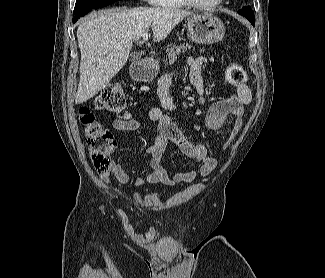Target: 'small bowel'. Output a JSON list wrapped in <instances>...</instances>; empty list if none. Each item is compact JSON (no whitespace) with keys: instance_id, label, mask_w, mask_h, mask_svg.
I'll return each instance as SVG.
<instances>
[{"instance_id":"c3829d8e","label":"small bowel","mask_w":325,"mask_h":278,"mask_svg":"<svg viewBox=\"0 0 325 278\" xmlns=\"http://www.w3.org/2000/svg\"><path fill=\"white\" fill-rule=\"evenodd\" d=\"M206 61V58L202 56L189 57L186 60L190 81L197 93V100L201 106L206 105V87L201 76V68ZM171 81V75L161 78L157 90L161 108H152L148 114V121L156 130V138L154 145L149 147L145 153L146 157L150 158L151 170H143V178L136 180L137 186H143L145 183L174 185L176 183L192 182L198 174L208 176L216 166V160L208 154L206 146L185 133L168 113L179 109L178 104L169 95ZM250 101L251 91L247 85L243 84L236 87L234 95L216 101L207 107L205 121L210 129L216 130L221 128L230 117L235 119L232 128L227 132L223 140V149H227L230 146L241 129L245 106ZM112 127L117 132H134L142 128V122L137 119H116L113 121ZM169 142L182 153L197 161L200 165L199 169L175 172L164 167L163 160ZM100 177L105 183L110 182L112 178H115L122 185H126L129 182V175L122 167L120 158L111 161L109 169L101 173ZM125 225L128 226L127 222H125Z\"/></svg>"}]
</instances>
